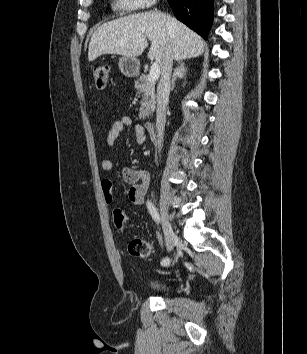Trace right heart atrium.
I'll return each mask as SVG.
<instances>
[{
    "label": "right heart atrium",
    "instance_id": "1",
    "mask_svg": "<svg viewBox=\"0 0 307 354\" xmlns=\"http://www.w3.org/2000/svg\"><path fill=\"white\" fill-rule=\"evenodd\" d=\"M156 0H117L120 9L132 11L146 9L155 4Z\"/></svg>",
    "mask_w": 307,
    "mask_h": 354
}]
</instances>
